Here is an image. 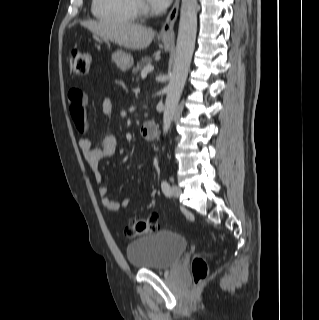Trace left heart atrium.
Segmentation results:
<instances>
[{"instance_id":"obj_1","label":"left heart atrium","mask_w":319,"mask_h":320,"mask_svg":"<svg viewBox=\"0 0 319 320\" xmlns=\"http://www.w3.org/2000/svg\"><path fill=\"white\" fill-rule=\"evenodd\" d=\"M150 4L156 8H166L171 0H149Z\"/></svg>"}]
</instances>
